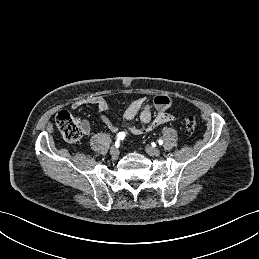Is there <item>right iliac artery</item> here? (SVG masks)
<instances>
[{
  "mask_svg": "<svg viewBox=\"0 0 259 259\" xmlns=\"http://www.w3.org/2000/svg\"><path fill=\"white\" fill-rule=\"evenodd\" d=\"M125 138V133L124 132H120L117 135V142L115 143V145L118 147L119 146V141L123 140Z\"/></svg>",
  "mask_w": 259,
  "mask_h": 259,
  "instance_id": "right-iliac-artery-1",
  "label": "right iliac artery"
}]
</instances>
